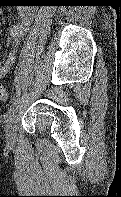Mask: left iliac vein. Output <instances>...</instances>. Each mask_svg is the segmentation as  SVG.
Listing matches in <instances>:
<instances>
[{
    "label": "left iliac vein",
    "instance_id": "left-iliac-vein-1",
    "mask_svg": "<svg viewBox=\"0 0 121 197\" xmlns=\"http://www.w3.org/2000/svg\"><path fill=\"white\" fill-rule=\"evenodd\" d=\"M17 123V111H15L7 120L6 125V138L9 143H14L16 140V126Z\"/></svg>",
    "mask_w": 121,
    "mask_h": 197
}]
</instances>
